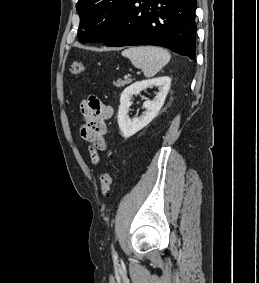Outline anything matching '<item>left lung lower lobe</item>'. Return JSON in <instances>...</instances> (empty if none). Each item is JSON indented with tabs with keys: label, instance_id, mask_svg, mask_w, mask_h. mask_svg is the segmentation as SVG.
I'll return each instance as SVG.
<instances>
[{
	"label": "left lung lower lobe",
	"instance_id": "obj_1",
	"mask_svg": "<svg viewBox=\"0 0 259 283\" xmlns=\"http://www.w3.org/2000/svg\"><path fill=\"white\" fill-rule=\"evenodd\" d=\"M196 0H132L106 46L157 45L195 60Z\"/></svg>",
	"mask_w": 259,
	"mask_h": 283
}]
</instances>
